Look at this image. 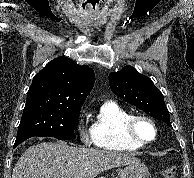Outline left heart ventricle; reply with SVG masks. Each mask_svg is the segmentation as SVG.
<instances>
[{"label": "left heart ventricle", "instance_id": "obj_1", "mask_svg": "<svg viewBox=\"0 0 194 178\" xmlns=\"http://www.w3.org/2000/svg\"><path fill=\"white\" fill-rule=\"evenodd\" d=\"M137 134L144 140H150L154 136L152 127L146 122H139L136 126Z\"/></svg>", "mask_w": 194, "mask_h": 178}]
</instances>
